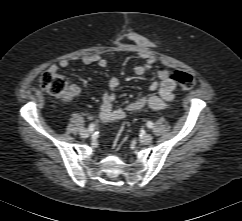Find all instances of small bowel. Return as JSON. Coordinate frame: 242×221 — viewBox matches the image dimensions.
I'll return each mask as SVG.
<instances>
[{
	"label": "small bowel",
	"instance_id": "small-bowel-1",
	"mask_svg": "<svg viewBox=\"0 0 242 221\" xmlns=\"http://www.w3.org/2000/svg\"><path fill=\"white\" fill-rule=\"evenodd\" d=\"M118 49L122 51H128L134 53L139 57L142 62L135 66L134 72L136 75H143L151 70L156 62L157 58L147 45L146 40L143 37L137 35H128L124 41L118 44ZM82 63L86 66L96 64L99 67H106L107 60L100 55H87L82 58ZM69 61L62 59L58 64H53L49 67L50 71L56 72L59 68H67ZM171 70H157L156 79L149 85V90L152 94L144 95L123 108H115L113 106L116 94L114 91L120 86V80L116 77L111 78L108 83L107 92L102 97V104L100 107L99 117L103 122H110L115 120H122L127 117L128 114L138 112L143 109L162 110L169 107L170 103L174 99V90L176 88L175 82L169 78ZM80 89L76 85H72L70 88V95L75 97L79 94Z\"/></svg>",
	"mask_w": 242,
	"mask_h": 221
}]
</instances>
